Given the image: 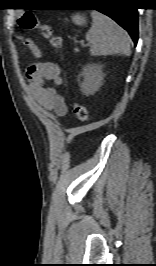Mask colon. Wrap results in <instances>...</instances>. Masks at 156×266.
Here are the masks:
<instances>
[{"instance_id": "colon-1", "label": "colon", "mask_w": 156, "mask_h": 266, "mask_svg": "<svg viewBox=\"0 0 156 266\" xmlns=\"http://www.w3.org/2000/svg\"><path fill=\"white\" fill-rule=\"evenodd\" d=\"M19 25L21 28L25 30H39L41 35L48 39L51 45L55 48L62 47V38L58 35H55L52 27L48 24L42 23L38 17L31 11H26L19 19ZM23 44L27 46L33 53L36 58L41 56V52L39 48L28 38L22 39ZM73 112L77 119L86 123L89 120L88 111L85 106L78 103L77 101H73Z\"/></svg>"}]
</instances>
